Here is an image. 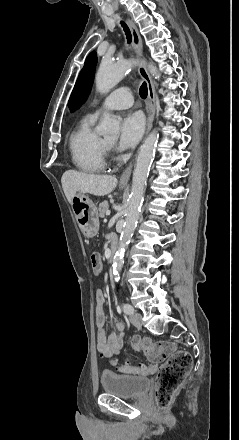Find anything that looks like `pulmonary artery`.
<instances>
[{"label": "pulmonary artery", "mask_w": 239, "mask_h": 440, "mask_svg": "<svg viewBox=\"0 0 239 440\" xmlns=\"http://www.w3.org/2000/svg\"><path fill=\"white\" fill-rule=\"evenodd\" d=\"M132 104L133 96L131 90L129 88H118L104 99L102 106L97 108L92 116H98L103 110L128 108Z\"/></svg>", "instance_id": "e3ab8cb5"}]
</instances>
